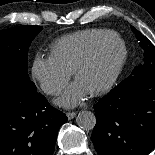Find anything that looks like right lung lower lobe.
Segmentation results:
<instances>
[{"instance_id": "obj_1", "label": "right lung lower lobe", "mask_w": 155, "mask_h": 155, "mask_svg": "<svg viewBox=\"0 0 155 155\" xmlns=\"http://www.w3.org/2000/svg\"><path fill=\"white\" fill-rule=\"evenodd\" d=\"M66 121L36 90L26 102L0 97V155H52Z\"/></svg>"}]
</instances>
